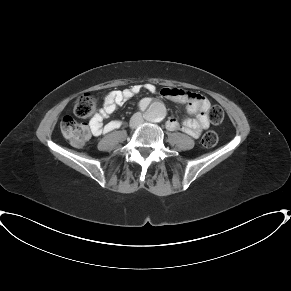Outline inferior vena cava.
Here are the masks:
<instances>
[{
	"label": "inferior vena cava",
	"instance_id": "1",
	"mask_svg": "<svg viewBox=\"0 0 291 291\" xmlns=\"http://www.w3.org/2000/svg\"><path fill=\"white\" fill-rule=\"evenodd\" d=\"M143 122H144V119H143L141 113L137 112L131 117L130 125L132 127H137V126L141 125Z\"/></svg>",
	"mask_w": 291,
	"mask_h": 291
}]
</instances>
